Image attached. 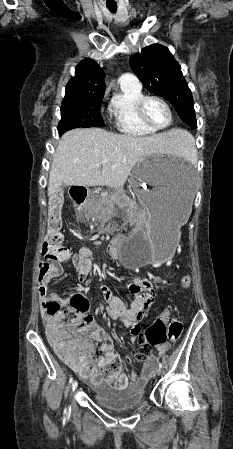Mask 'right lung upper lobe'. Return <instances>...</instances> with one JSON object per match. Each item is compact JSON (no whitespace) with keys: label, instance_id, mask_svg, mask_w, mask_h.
<instances>
[{"label":"right lung upper lobe","instance_id":"1","mask_svg":"<svg viewBox=\"0 0 233 449\" xmlns=\"http://www.w3.org/2000/svg\"><path fill=\"white\" fill-rule=\"evenodd\" d=\"M75 69V77L66 85L65 97L104 93V73L96 61L83 60Z\"/></svg>","mask_w":233,"mask_h":449}]
</instances>
